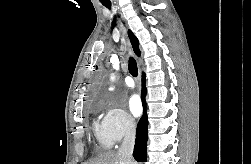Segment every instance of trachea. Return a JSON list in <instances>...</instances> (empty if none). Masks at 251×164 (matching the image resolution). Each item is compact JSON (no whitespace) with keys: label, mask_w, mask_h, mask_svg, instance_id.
Returning <instances> with one entry per match:
<instances>
[{"label":"trachea","mask_w":251,"mask_h":164,"mask_svg":"<svg viewBox=\"0 0 251 164\" xmlns=\"http://www.w3.org/2000/svg\"><path fill=\"white\" fill-rule=\"evenodd\" d=\"M104 5L109 9L111 8L110 2H106L104 3ZM128 69L133 77H137L138 75L137 63L132 57L129 59Z\"/></svg>","instance_id":"obj_1"}]
</instances>
